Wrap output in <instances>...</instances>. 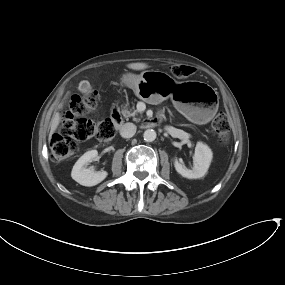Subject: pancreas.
<instances>
[{"label":"pancreas","instance_id":"cf45deb5","mask_svg":"<svg viewBox=\"0 0 285 285\" xmlns=\"http://www.w3.org/2000/svg\"><path fill=\"white\" fill-rule=\"evenodd\" d=\"M122 115L125 118H129V117H134L133 119L135 121H138L139 119L135 118V115H137L138 111L135 110V107L133 106L132 109H128V107L125 105L122 107V111H121Z\"/></svg>","mask_w":285,"mask_h":285}]
</instances>
